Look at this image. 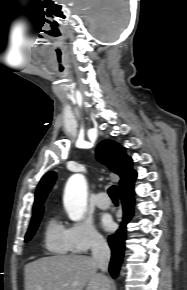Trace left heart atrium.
<instances>
[{
    "mask_svg": "<svg viewBox=\"0 0 187 290\" xmlns=\"http://www.w3.org/2000/svg\"><path fill=\"white\" fill-rule=\"evenodd\" d=\"M101 225L104 229L109 230L111 229L113 223L110 217L105 216L101 219Z\"/></svg>",
    "mask_w": 187,
    "mask_h": 290,
    "instance_id": "left-heart-atrium-1",
    "label": "left heart atrium"
}]
</instances>
